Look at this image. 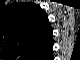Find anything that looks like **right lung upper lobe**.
Masks as SVG:
<instances>
[{
  "label": "right lung upper lobe",
  "mask_w": 80,
  "mask_h": 60,
  "mask_svg": "<svg viewBox=\"0 0 80 60\" xmlns=\"http://www.w3.org/2000/svg\"><path fill=\"white\" fill-rule=\"evenodd\" d=\"M2 40L19 54L29 56L46 49L51 27L47 14L34 3H16L5 8Z\"/></svg>",
  "instance_id": "1"
}]
</instances>
